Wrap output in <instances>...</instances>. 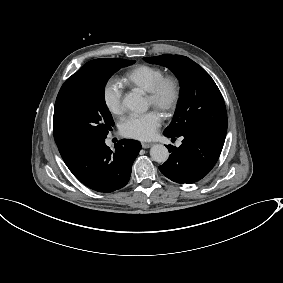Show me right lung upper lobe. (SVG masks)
Masks as SVG:
<instances>
[{
  "label": "right lung upper lobe",
  "mask_w": 283,
  "mask_h": 283,
  "mask_svg": "<svg viewBox=\"0 0 283 283\" xmlns=\"http://www.w3.org/2000/svg\"><path fill=\"white\" fill-rule=\"evenodd\" d=\"M56 143L58 145L60 154L64 161L72 158L74 155H76L82 148L71 144H67L61 141L56 140Z\"/></svg>",
  "instance_id": "obj_1"
}]
</instances>
